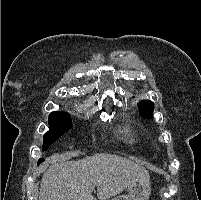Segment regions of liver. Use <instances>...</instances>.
Instances as JSON below:
<instances>
[{"label":"liver","instance_id":"liver-1","mask_svg":"<svg viewBox=\"0 0 201 200\" xmlns=\"http://www.w3.org/2000/svg\"><path fill=\"white\" fill-rule=\"evenodd\" d=\"M149 180L146 168L133 161L106 153L81 160L51 165L44 173L39 200H107L121 193L131 183Z\"/></svg>","mask_w":201,"mask_h":200}]
</instances>
